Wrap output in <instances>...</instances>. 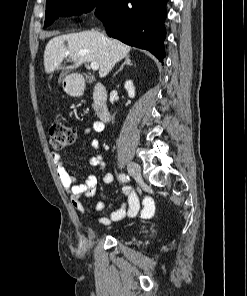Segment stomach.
<instances>
[{
    "mask_svg": "<svg viewBox=\"0 0 247 296\" xmlns=\"http://www.w3.org/2000/svg\"><path fill=\"white\" fill-rule=\"evenodd\" d=\"M65 86L66 89L69 91L70 94L75 95L78 93V88L76 86V82H75V76H68L65 79Z\"/></svg>",
    "mask_w": 247,
    "mask_h": 296,
    "instance_id": "1",
    "label": "stomach"
}]
</instances>
